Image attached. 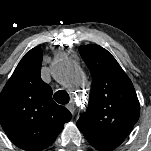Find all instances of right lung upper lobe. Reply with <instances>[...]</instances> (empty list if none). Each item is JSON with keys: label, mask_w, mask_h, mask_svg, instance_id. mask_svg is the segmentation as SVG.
Listing matches in <instances>:
<instances>
[{"label": "right lung upper lobe", "mask_w": 151, "mask_h": 151, "mask_svg": "<svg viewBox=\"0 0 151 151\" xmlns=\"http://www.w3.org/2000/svg\"><path fill=\"white\" fill-rule=\"evenodd\" d=\"M42 50L31 49L19 62L0 94V123L9 139L25 151L51 145L71 113L52 99L41 79Z\"/></svg>", "instance_id": "obj_1"}]
</instances>
